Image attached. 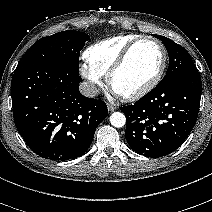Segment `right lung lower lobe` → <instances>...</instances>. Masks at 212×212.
Instances as JSON below:
<instances>
[{"label": "right lung lower lobe", "mask_w": 212, "mask_h": 212, "mask_svg": "<svg viewBox=\"0 0 212 212\" xmlns=\"http://www.w3.org/2000/svg\"><path fill=\"white\" fill-rule=\"evenodd\" d=\"M80 81L79 73L53 64L14 72V122L26 144L40 157L65 161L81 156L108 115L105 102L79 92Z\"/></svg>", "instance_id": "obj_1"}]
</instances>
